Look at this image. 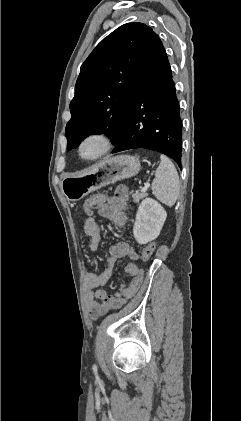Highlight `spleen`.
<instances>
[{
    "instance_id": "3e777b00",
    "label": "spleen",
    "mask_w": 241,
    "mask_h": 421,
    "mask_svg": "<svg viewBox=\"0 0 241 421\" xmlns=\"http://www.w3.org/2000/svg\"><path fill=\"white\" fill-rule=\"evenodd\" d=\"M160 159L161 162L152 182V192L163 204L172 207L179 196V176L174 164L167 156L161 155Z\"/></svg>"
}]
</instances>
